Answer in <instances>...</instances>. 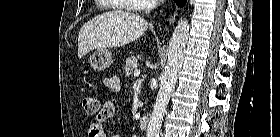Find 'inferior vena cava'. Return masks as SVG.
Instances as JSON below:
<instances>
[{"instance_id":"1","label":"inferior vena cava","mask_w":280,"mask_h":137,"mask_svg":"<svg viewBox=\"0 0 280 137\" xmlns=\"http://www.w3.org/2000/svg\"><path fill=\"white\" fill-rule=\"evenodd\" d=\"M157 5L156 0H148L146 13H149Z\"/></svg>"}]
</instances>
